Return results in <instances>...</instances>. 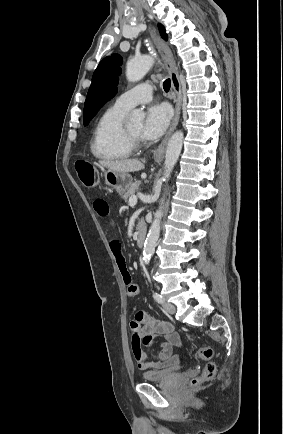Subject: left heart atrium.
Instances as JSON below:
<instances>
[{
    "label": "left heart atrium",
    "instance_id": "39dd6f15",
    "mask_svg": "<svg viewBox=\"0 0 283 434\" xmlns=\"http://www.w3.org/2000/svg\"><path fill=\"white\" fill-rule=\"evenodd\" d=\"M171 109L166 104H155L148 108L142 125L141 136L146 140L160 138L171 120Z\"/></svg>",
    "mask_w": 283,
    "mask_h": 434
}]
</instances>
